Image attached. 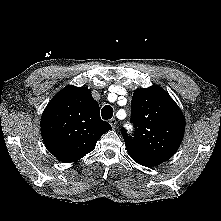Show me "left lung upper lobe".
<instances>
[{
  "instance_id": "left-lung-upper-lobe-1",
  "label": "left lung upper lobe",
  "mask_w": 221,
  "mask_h": 221,
  "mask_svg": "<svg viewBox=\"0 0 221 221\" xmlns=\"http://www.w3.org/2000/svg\"><path fill=\"white\" fill-rule=\"evenodd\" d=\"M134 137L121 130L127 152L137 163L152 167L170 159L179 148L185 118L170 95L155 85L135 90L131 104Z\"/></svg>"
}]
</instances>
